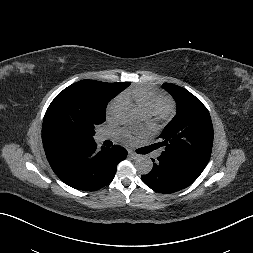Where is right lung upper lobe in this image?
I'll use <instances>...</instances> for the list:
<instances>
[{"instance_id":"cb5924a9","label":"right lung upper lobe","mask_w":253,"mask_h":253,"mask_svg":"<svg viewBox=\"0 0 253 253\" xmlns=\"http://www.w3.org/2000/svg\"><path fill=\"white\" fill-rule=\"evenodd\" d=\"M92 82H96V81H93V80H82V81H79L77 83H92ZM51 149H54V147L44 146L45 153L48 152Z\"/></svg>"}]
</instances>
